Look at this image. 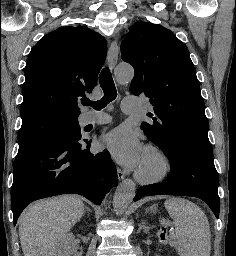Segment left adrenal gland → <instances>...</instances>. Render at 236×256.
Listing matches in <instances>:
<instances>
[{
    "instance_id": "1",
    "label": "left adrenal gland",
    "mask_w": 236,
    "mask_h": 256,
    "mask_svg": "<svg viewBox=\"0 0 236 256\" xmlns=\"http://www.w3.org/2000/svg\"><path fill=\"white\" fill-rule=\"evenodd\" d=\"M146 212H154V208H148V210H146Z\"/></svg>"
}]
</instances>
